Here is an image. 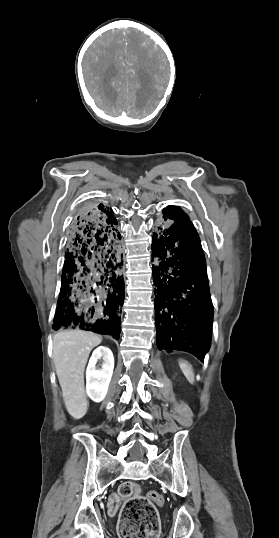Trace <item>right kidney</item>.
<instances>
[{
	"mask_svg": "<svg viewBox=\"0 0 279 538\" xmlns=\"http://www.w3.org/2000/svg\"><path fill=\"white\" fill-rule=\"evenodd\" d=\"M98 360H103L100 370H97ZM114 370V358L111 350L99 346L94 350L86 370V392L93 402H102L111 382Z\"/></svg>",
	"mask_w": 279,
	"mask_h": 538,
	"instance_id": "ca27d5eb",
	"label": "right kidney"
}]
</instances>
